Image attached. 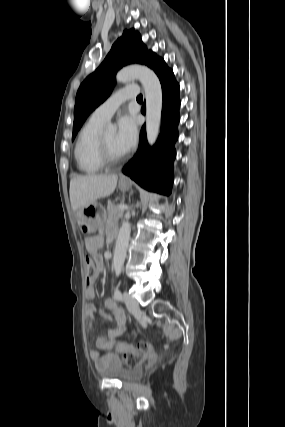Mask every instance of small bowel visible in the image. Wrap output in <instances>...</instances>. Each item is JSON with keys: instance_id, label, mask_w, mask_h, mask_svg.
Wrapping results in <instances>:
<instances>
[{"instance_id": "small-bowel-1", "label": "small bowel", "mask_w": 285, "mask_h": 427, "mask_svg": "<svg viewBox=\"0 0 285 427\" xmlns=\"http://www.w3.org/2000/svg\"><path fill=\"white\" fill-rule=\"evenodd\" d=\"M103 244V239L100 235L91 237L86 240L87 251L94 257L98 270L102 271L104 268L103 260L99 255L98 251ZM86 298L92 300L96 297V289L93 284L89 285L85 292ZM106 309L111 315L98 310L94 305L89 304L87 306V313L89 315L88 331L90 339H94L93 331V318L98 319H113L115 326L113 328L103 330L100 329L95 339L96 350L90 351V357L95 364L97 370H105L110 366L120 364V358L117 354L110 352L113 343L116 339L121 337L126 331V317L124 311L118 306L117 302L113 298H108L105 301ZM107 351V354H103Z\"/></svg>"}]
</instances>
